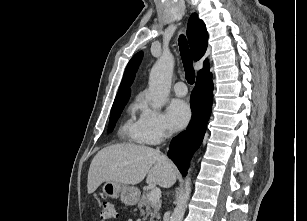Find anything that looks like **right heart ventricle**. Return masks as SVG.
I'll list each match as a JSON object with an SVG mask.
<instances>
[{
  "instance_id": "right-heart-ventricle-1",
  "label": "right heart ventricle",
  "mask_w": 307,
  "mask_h": 221,
  "mask_svg": "<svg viewBox=\"0 0 307 221\" xmlns=\"http://www.w3.org/2000/svg\"><path fill=\"white\" fill-rule=\"evenodd\" d=\"M140 108V103H132L130 105V116L121 127L120 133L122 136L129 138L137 143H145L141 134L140 122L135 118V112Z\"/></svg>"
}]
</instances>
